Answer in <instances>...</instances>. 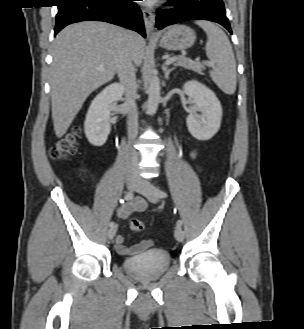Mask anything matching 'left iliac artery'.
<instances>
[{"label": "left iliac artery", "instance_id": "1", "mask_svg": "<svg viewBox=\"0 0 304 329\" xmlns=\"http://www.w3.org/2000/svg\"><path fill=\"white\" fill-rule=\"evenodd\" d=\"M157 194L160 198H166L167 197V193L161 189H157ZM177 226H181L182 225V221L181 220H177L176 222Z\"/></svg>", "mask_w": 304, "mask_h": 329}]
</instances>
